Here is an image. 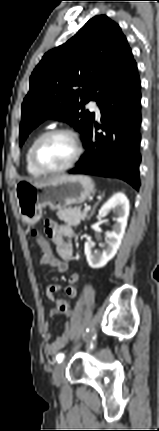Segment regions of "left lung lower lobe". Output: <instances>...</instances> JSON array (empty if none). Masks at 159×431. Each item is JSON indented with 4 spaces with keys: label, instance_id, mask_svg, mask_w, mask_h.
I'll use <instances>...</instances> for the list:
<instances>
[{
    "label": "left lung lower lobe",
    "instance_id": "obj_1",
    "mask_svg": "<svg viewBox=\"0 0 159 431\" xmlns=\"http://www.w3.org/2000/svg\"><path fill=\"white\" fill-rule=\"evenodd\" d=\"M140 87L137 64L133 61L100 103L102 124L93 120L83 141L86 151L70 174L119 178L139 189Z\"/></svg>",
    "mask_w": 159,
    "mask_h": 431
}]
</instances>
